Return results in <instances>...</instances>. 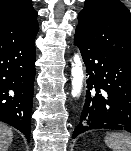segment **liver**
<instances>
[{
    "label": "liver",
    "instance_id": "1",
    "mask_svg": "<svg viewBox=\"0 0 131 151\" xmlns=\"http://www.w3.org/2000/svg\"><path fill=\"white\" fill-rule=\"evenodd\" d=\"M13 139L12 130L0 123V151H7Z\"/></svg>",
    "mask_w": 131,
    "mask_h": 151
}]
</instances>
